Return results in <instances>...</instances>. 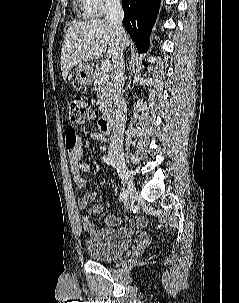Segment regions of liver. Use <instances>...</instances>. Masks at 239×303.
I'll return each mask as SVG.
<instances>
[{
  "mask_svg": "<svg viewBox=\"0 0 239 303\" xmlns=\"http://www.w3.org/2000/svg\"><path fill=\"white\" fill-rule=\"evenodd\" d=\"M126 35L124 47L129 46ZM107 45L109 48L107 50ZM117 40L113 25L106 20L93 19L71 25L62 43L61 71L65 80L69 71L77 65L100 58L106 51L108 57L114 59Z\"/></svg>",
  "mask_w": 239,
  "mask_h": 303,
  "instance_id": "6515ba94",
  "label": "liver"
}]
</instances>
